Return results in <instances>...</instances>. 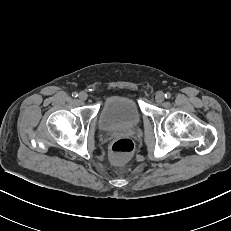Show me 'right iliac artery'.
I'll return each mask as SVG.
<instances>
[{
    "mask_svg": "<svg viewBox=\"0 0 231 231\" xmlns=\"http://www.w3.org/2000/svg\"><path fill=\"white\" fill-rule=\"evenodd\" d=\"M72 96H73V97H77V96H78V93H77V92H73V93H72Z\"/></svg>",
    "mask_w": 231,
    "mask_h": 231,
    "instance_id": "1",
    "label": "right iliac artery"
}]
</instances>
